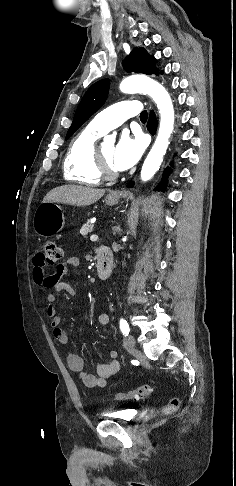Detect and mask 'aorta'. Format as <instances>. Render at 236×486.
Returning a JSON list of instances; mask_svg holds the SVG:
<instances>
[{
    "label": "aorta",
    "instance_id": "obj_1",
    "mask_svg": "<svg viewBox=\"0 0 236 486\" xmlns=\"http://www.w3.org/2000/svg\"><path fill=\"white\" fill-rule=\"evenodd\" d=\"M123 93H144L156 103L160 114L158 135L147 155L142 169L141 180L148 181L159 170L169 145V138L174 128V108L169 93L157 81L146 76H131L120 84Z\"/></svg>",
    "mask_w": 236,
    "mask_h": 486
}]
</instances>
